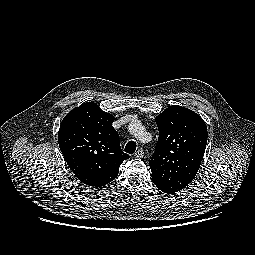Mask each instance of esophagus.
Returning <instances> with one entry per match:
<instances>
[{"label": "esophagus", "mask_w": 255, "mask_h": 255, "mask_svg": "<svg viewBox=\"0 0 255 255\" xmlns=\"http://www.w3.org/2000/svg\"><path fill=\"white\" fill-rule=\"evenodd\" d=\"M134 156L137 157V158H142L144 156V150L142 148L138 149L135 152Z\"/></svg>", "instance_id": "obj_1"}]
</instances>
